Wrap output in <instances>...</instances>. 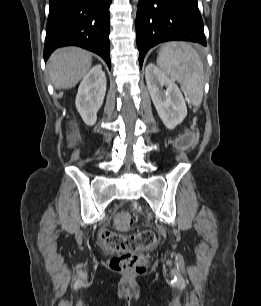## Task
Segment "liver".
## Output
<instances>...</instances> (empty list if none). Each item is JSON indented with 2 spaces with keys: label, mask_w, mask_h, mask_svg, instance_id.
Wrapping results in <instances>:
<instances>
[{
  "label": "liver",
  "mask_w": 261,
  "mask_h": 306,
  "mask_svg": "<svg viewBox=\"0 0 261 306\" xmlns=\"http://www.w3.org/2000/svg\"><path fill=\"white\" fill-rule=\"evenodd\" d=\"M92 64L91 53L76 47L55 51L49 59L48 71L56 89L74 87L89 71Z\"/></svg>",
  "instance_id": "liver-1"
}]
</instances>
